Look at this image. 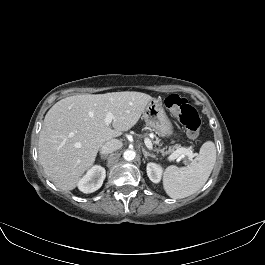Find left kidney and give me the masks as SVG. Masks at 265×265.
Listing matches in <instances>:
<instances>
[{"instance_id":"left-kidney-1","label":"left kidney","mask_w":265,"mask_h":265,"mask_svg":"<svg viewBox=\"0 0 265 265\" xmlns=\"http://www.w3.org/2000/svg\"><path fill=\"white\" fill-rule=\"evenodd\" d=\"M147 175L153 183H159L162 176V167L159 164L150 162L147 164Z\"/></svg>"}]
</instances>
